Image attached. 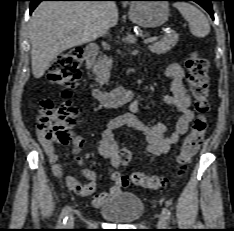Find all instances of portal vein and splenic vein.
<instances>
[{"mask_svg": "<svg viewBox=\"0 0 234 231\" xmlns=\"http://www.w3.org/2000/svg\"><path fill=\"white\" fill-rule=\"evenodd\" d=\"M156 39H157V37L147 38V39H144V43L147 44V43L156 41Z\"/></svg>", "mask_w": 234, "mask_h": 231, "instance_id": "obj_1", "label": "portal vein and splenic vein"}]
</instances>
